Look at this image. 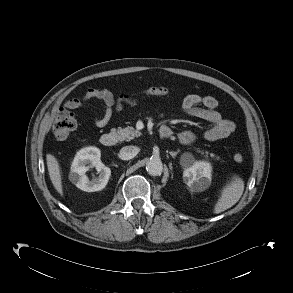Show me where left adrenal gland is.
<instances>
[{"label":"left adrenal gland","instance_id":"a2214340","mask_svg":"<svg viewBox=\"0 0 293 293\" xmlns=\"http://www.w3.org/2000/svg\"><path fill=\"white\" fill-rule=\"evenodd\" d=\"M179 152H180V150H177V151H170L169 154H170L173 158H175Z\"/></svg>","mask_w":293,"mask_h":293}]
</instances>
